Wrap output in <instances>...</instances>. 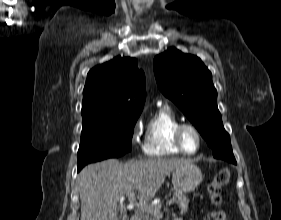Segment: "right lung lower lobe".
I'll return each mask as SVG.
<instances>
[{
    "label": "right lung lower lobe",
    "mask_w": 281,
    "mask_h": 220,
    "mask_svg": "<svg viewBox=\"0 0 281 220\" xmlns=\"http://www.w3.org/2000/svg\"><path fill=\"white\" fill-rule=\"evenodd\" d=\"M83 167H78V171H80Z\"/></svg>",
    "instance_id": "1"
}]
</instances>
